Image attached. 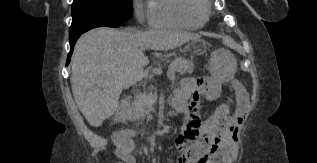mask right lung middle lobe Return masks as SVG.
I'll return each instance as SVG.
<instances>
[{
	"instance_id": "dd1d6c3e",
	"label": "right lung middle lobe",
	"mask_w": 317,
	"mask_h": 163,
	"mask_svg": "<svg viewBox=\"0 0 317 163\" xmlns=\"http://www.w3.org/2000/svg\"><path fill=\"white\" fill-rule=\"evenodd\" d=\"M132 16V0H73L70 38L103 25H119Z\"/></svg>"
}]
</instances>
